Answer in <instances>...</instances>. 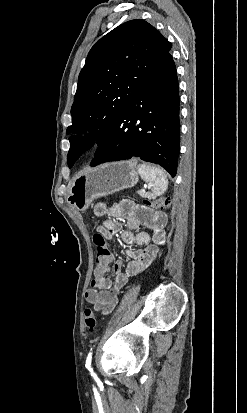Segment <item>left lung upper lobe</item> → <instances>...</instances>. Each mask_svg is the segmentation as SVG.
Wrapping results in <instances>:
<instances>
[{
  "mask_svg": "<svg viewBox=\"0 0 247 413\" xmlns=\"http://www.w3.org/2000/svg\"><path fill=\"white\" fill-rule=\"evenodd\" d=\"M172 44L144 20L125 22L91 48L71 108V168L95 143L99 146L130 99L170 51Z\"/></svg>",
  "mask_w": 247,
  "mask_h": 413,
  "instance_id": "left-lung-upper-lobe-1",
  "label": "left lung upper lobe"
}]
</instances>
